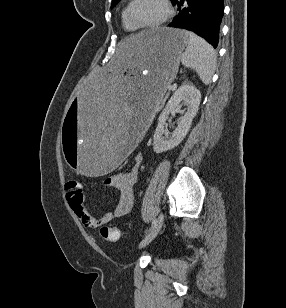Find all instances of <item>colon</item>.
Here are the masks:
<instances>
[{
  "instance_id": "obj_1",
  "label": "colon",
  "mask_w": 286,
  "mask_h": 308,
  "mask_svg": "<svg viewBox=\"0 0 286 308\" xmlns=\"http://www.w3.org/2000/svg\"><path fill=\"white\" fill-rule=\"evenodd\" d=\"M80 182L70 180L66 183L67 190H79ZM101 236L107 241H117L119 239V230L116 227L104 226L101 228Z\"/></svg>"
}]
</instances>
